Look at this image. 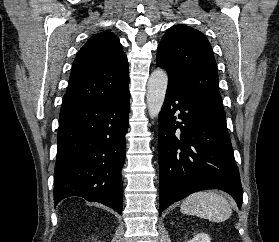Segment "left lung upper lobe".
Segmentation results:
<instances>
[{
  "instance_id": "1",
  "label": "left lung upper lobe",
  "mask_w": 279,
  "mask_h": 242,
  "mask_svg": "<svg viewBox=\"0 0 279 242\" xmlns=\"http://www.w3.org/2000/svg\"><path fill=\"white\" fill-rule=\"evenodd\" d=\"M157 65L167 70L170 81L226 120L217 64L202 32L185 25L171 27L158 46Z\"/></svg>"
}]
</instances>
